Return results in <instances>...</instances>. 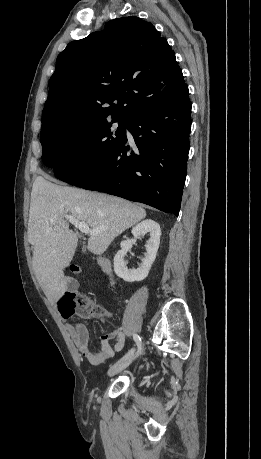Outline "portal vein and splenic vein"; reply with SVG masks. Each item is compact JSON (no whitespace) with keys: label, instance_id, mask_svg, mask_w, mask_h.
I'll return each mask as SVG.
<instances>
[{"label":"portal vein and splenic vein","instance_id":"obj_1","mask_svg":"<svg viewBox=\"0 0 261 459\" xmlns=\"http://www.w3.org/2000/svg\"><path fill=\"white\" fill-rule=\"evenodd\" d=\"M66 220H68L71 224H73L80 232L84 234H94L97 233L99 230H91L85 222H80L77 218L71 215L65 216Z\"/></svg>","mask_w":261,"mask_h":459}]
</instances>
